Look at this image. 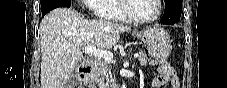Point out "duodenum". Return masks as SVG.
<instances>
[{
	"mask_svg": "<svg viewBox=\"0 0 227 88\" xmlns=\"http://www.w3.org/2000/svg\"><path fill=\"white\" fill-rule=\"evenodd\" d=\"M92 65H93L92 60H85L81 63L80 68H79L80 78H84L88 74ZM116 87H118V86H114V88H116Z\"/></svg>",
	"mask_w": 227,
	"mask_h": 88,
	"instance_id": "obj_1",
	"label": "duodenum"
}]
</instances>
